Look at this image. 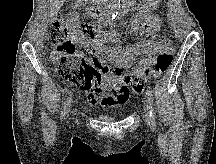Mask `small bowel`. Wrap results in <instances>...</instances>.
Masks as SVG:
<instances>
[{
    "mask_svg": "<svg viewBox=\"0 0 216 164\" xmlns=\"http://www.w3.org/2000/svg\"><path fill=\"white\" fill-rule=\"evenodd\" d=\"M161 3L162 0H144L137 7L131 21V29L134 33L147 35L149 39L129 46L119 44V37L115 33L101 30L94 25H80L77 14L69 15L79 24L73 35L76 43L86 50L91 60L106 67L101 86L87 92L89 105L100 104L113 108L125 104L130 97L129 86L132 76L142 67L152 65L155 54L168 49L169 42L166 39H156L160 29L158 11ZM107 42H114L117 45L108 47ZM143 54L146 57L139 59ZM110 64L114 67L111 68ZM125 69H129V72Z\"/></svg>",
    "mask_w": 216,
    "mask_h": 164,
    "instance_id": "obj_1",
    "label": "small bowel"
}]
</instances>
